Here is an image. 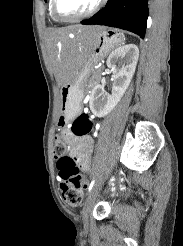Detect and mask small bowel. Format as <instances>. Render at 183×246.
<instances>
[{
	"mask_svg": "<svg viewBox=\"0 0 183 246\" xmlns=\"http://www.w3.org/2000/svg\"><path fill=\"white\" fill-rule=\"evenodd\" d=\"M64 141L71 147L70 156L83 171H88L91 166V154L94 140L90 135L77 136L67 129L63 132ZM89 147L90 151L86 152L85 148ZM125 175L121 174L120 178H109L110 187H123ZM119 193H126V188H119ZM109 198H117V193H109Z\"/></svg>",
	"mask_w": 183,
	"mask_h": 246,
	"instance_id": "small-bowel-1",
	"label": "small bowel"
}]
</instances>
